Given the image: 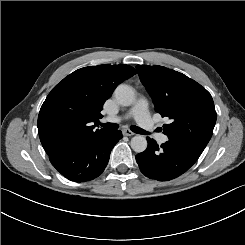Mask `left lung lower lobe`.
I'll use <instances>...</instances> for the list:
<instances>
[{
    "mask_svg": "<svg viewBox=\"0 0 245 245\" xmlns=\"http://www.w3.org/2000/svg\"><path fill=\"white\" fill-rule=\"evenodd\" d=\"M147 141V149L135 158L141 172L158 181H169L181 176L195 164L202 153L171 139L161 146L149 137Z\"/></svg>",
    "mask_w": 245,
    "mask_h": 245,
    "instance_id": "left-lung-lower-lobe-1",
    "label": "left lung lower lobe"
}]
</instances>
